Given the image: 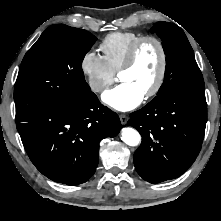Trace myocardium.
<instances>
[{
  "label": "myocardium",
  "mask_w": 221,
  "mask_h": 221,
  "mask_svg": "<svg viewBox=\"0 0 221 221\" xmlns=\"http://www.w3.org/2000/svg\"><path fill=\"white\" fill-rule=\"evenodd\" d=\"M147 42H153L156 44L158 47L159 53H160V66H159V71L157 75V79L152 86V88L145 93L146 98H151L158 94V92L161 90L165 77H166V72H167V65H168V58H167V52L166 48L163 44V42L156 36L153 35H144L141 36L129 49L127 56L125 58V61L120 68V74L126 70L131 69L137 60L138 53L141 49V47L147 43Z\"/></svg>",
  "instance_id": "1"
}]
</instances>
